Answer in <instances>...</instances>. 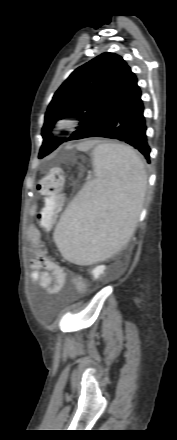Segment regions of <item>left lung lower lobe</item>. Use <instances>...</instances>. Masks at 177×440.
Segmentation results:
<instances>
[{"mask_svg":"<svg viewBox=\"0 0 177 440\" xmlns=\"http://www.w3.org/2000/svg\"><path fill=\"white\" fill-rule=\"evenodd\" d=\"M143 111L141 90L138 87L124 105L84 138L105 137L123 141L140 151L150 163L151 149L147 143Z\"/></svg>","mask_w":177,"mask_h":440,"instance_id":"1","label":"left lung lower lobe"}]
</instances>
